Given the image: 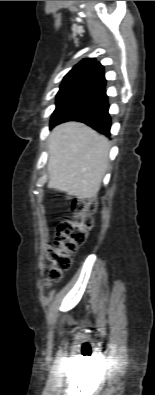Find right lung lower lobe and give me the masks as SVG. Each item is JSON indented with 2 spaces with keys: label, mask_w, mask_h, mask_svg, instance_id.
I'll return each instance as SVG.
<instances>
[{
  "label": "right lung lower lobe",
  "mask_w": 155,
  "mask_h": 395,
  "mask_svg": "<svg viewBox=\"0 0 155 395\" xmlns=\"http://www.w3.org/2000/svg\"><path fill=\"white\" fill-rule=\"evenodd\" d=\"M108 109L109 105L107 102V95L106 91L104 90L94 102L59 123L69 120H76L89 125L93 129L106 136H110L111 121Z\"/></svg>",
  "instance_id": "1"
}]
</instances>
